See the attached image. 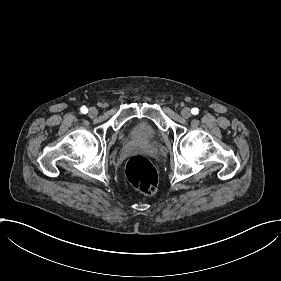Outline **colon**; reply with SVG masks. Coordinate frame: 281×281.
I'll return each mask as SVG.
<instances>
[{
    "label": "colon",
    "mask_w": 281,
    "mask_h": 281,
    "mask_svg": "<svg viewBox=\"0 0 281 281\" xmlns=\"http://www.w3.org/2000/svg\"><path fill=\"white\" fill-rule=\"evenodd\" d=\"M125 173L130 184L141 191L151 192L158 185L155 168L141 155L131 156L125 166Z\"/></svg>",
    "instance_id": "1"
}]
</instances>
